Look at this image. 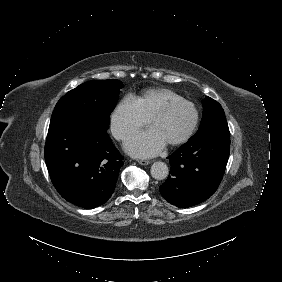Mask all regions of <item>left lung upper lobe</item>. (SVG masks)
I'll list each match as a JSON object with an SVG mask.
<instances>
[{
    "instance_id": "obj_1",
    "label": "left lung upper lobe",
    "mask_w": 282,
    "mask_h": 282,
    "mask_svg": "<svg viewBox=\"0 0 282 282\" xmlns=\"http://www.w3.org/2000/svg\"><path fill=\"white\" fill-rule=\"evenodd\" d=\"M202 104L204 110L199 130L216 123L226 122L224 110L218 102L207 96Z\"/></svg>"
}]
</instances>
